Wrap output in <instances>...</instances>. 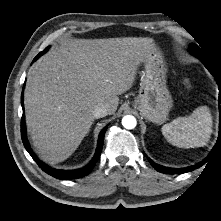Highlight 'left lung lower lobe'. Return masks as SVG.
Returning <instances> with one entry per match:
<instances>
[{"label":"left lung lower lobe","mask_w":221,"mask_h":221,"mask_svg":"<svg viewBox=\"0 0 221 221\" xmlns=\"http://www.w3.org/2000/svg\"><path fill=\"white\" fill-rule=\"evenodd\" d=\"M202 62L205 64V66L210 70V72L212 73L211 68L208 66V64L206 63L205 58H202ZM220 104H221V96H220ZM219 132H221V117H220V127H219ZM148 161L150 162V164L159 172L161 173H165V174H182V173H186L192 170H195L199 167H201L203 165L204 162H200L196 165L190 166V167H186V168H182V169H176V168H168V167H164L161 165H158L156 163H154L151 159H149L147 157Z\"/></svg>","instance_id":"left-lung-lower-lobe-1"}]
</instances>
